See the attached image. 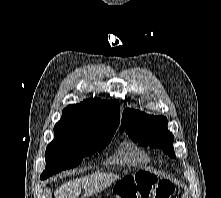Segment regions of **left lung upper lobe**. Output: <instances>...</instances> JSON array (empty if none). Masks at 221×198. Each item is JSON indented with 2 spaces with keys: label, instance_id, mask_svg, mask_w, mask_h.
<instances>
[{
  "label": "left lung upper lobe",
  "instance_id": "left-lung-upper-lobe-1",
  "mask_svg": "<svg viewBox=\"0 0 221 198\" xmlns=\"http://www.w3.org/2000/svg\"><path fill=\"white\" fill-rule=\"evenodd\" d=\"M120 131H125L141 146L159 148L170 157H176L173 151L174 136L168 131L167 119L164 116H150L126 108L122 115Z\"/></svg>",
  "mask_w": 221,
  "mask_h": 198
}]
</instances>
